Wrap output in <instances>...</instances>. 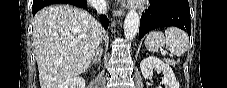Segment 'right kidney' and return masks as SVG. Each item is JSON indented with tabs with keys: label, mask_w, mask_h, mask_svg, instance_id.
<instances>
[{
	"label": "right kidney",
	"mask_w": 227,
	"mask_h": 88,
	"mask_svg": "<svg viewBox=\"0 0 227 88\" xmlns=\"http://www.w3.org/2000/svg\"><path fill=\"white\" fill-rule=\"evenodd\" d=\"M57 88H85V80L79 76L73 77L58 85Z\"/></svg>",
	"instance_id": "right-kidney-1"
}]
</instances>
